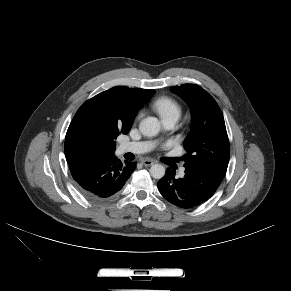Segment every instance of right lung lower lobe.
<instances>
[{
	"label": "right lung lower lobe",
	"instance_id": "1",
	"mask_svg": "<svg viewBox=\"0 0 291 291\" xmlns=\"http://www.w3.org/2000/svg\"><path fill=\"white\" fill-rule=\"evenodd\" d=\"M70 172L79 191L88 199L112 197L122 189L136 164L121 163L114 153L92 154L69 164Z\"/></svg>",
	"mask_w": 291,
	"mask_h": 291
}]
</instances>
